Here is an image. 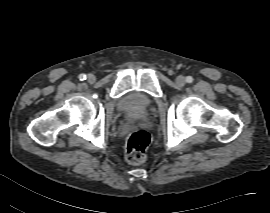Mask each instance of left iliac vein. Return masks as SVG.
I'll return each mask as SVG.
<instances>
[{"label": "left iliac vein", "instance_id": "obj_1", "mask_svg": "<svg viewBox=\"0 0 270 213\" xmlns=\"http://www.w3.org/2000/svg\"><path fill=\"white\" fill-rule=\"evenodd\" d=\"M176 83L179 86H183L185 84V78L182 75L178 76L176 78Z\"/></svg>", "mask_w": 270, "mask_h": 213}]
</instances>
